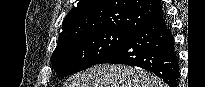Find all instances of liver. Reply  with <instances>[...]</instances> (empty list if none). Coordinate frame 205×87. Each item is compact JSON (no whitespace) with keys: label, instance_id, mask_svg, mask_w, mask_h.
Segmentation results:
<instances>
[{"label":"liver","instance_id":"obj_1","mask_svg":"<svg viewBox=\"0 0 205 87\" xmlns=\"http://www.w3.org/2000/svg\"><path fill=\"white\" fill-rule=\"evenodd\" d=\"M65 87H164V84L142 69L103 64L74 74Z\"/></svg>","mask_w":205,"mask_h":87}]
</instances>
